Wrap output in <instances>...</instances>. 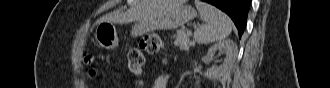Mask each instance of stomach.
Instances as JSON below:
<instances>
[{"label":"stomach","instance_id":"0dacf381","mask_svg":"<svg viewBox=\"0 0 330 88\" xmlns=\"http://www.w3.org/2000/svg\"><path fill=\"white\" fill-rule=\"evenodd\" d=\"M197 13L193 7L180 0H156L151 14L143 20L137 21L132 27L131 35L134 37L154 30H173L193 20ZM97 43L106 49L118 46V35L113 23L102 21L95 30Z\"/></svg>","mask_w":330,"mask_h":88}]
</instances>
